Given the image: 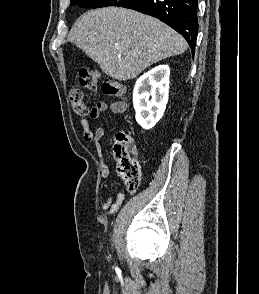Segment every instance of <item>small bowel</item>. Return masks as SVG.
Here are the masks:
<instances>
[{"label": "small bowel", "mask_w": 259, "mask_h": 294, "mask_svg": "<svg viewBox=\"0 0 259 294\" xmlns=\"http://www.w3.org/2000/svg\"><path fill=\"white\" fill-rule=\"evenodd\" d=\"M126 110V104L123 102H114L112 104H108L105 101H99L96 105L91 109L90 117L92 119L98 118L102 113L107 111H111L112 113H123ZM80 124L83 130V137L88 142H93L95 145V149L97 154L102 157L103 149L101 145V139L104 136V129L99 127L92 130L89 126L88 120L82 118L80 120ZM110 175V168L107 164L102 163L101 167V176L103 178H107ZM124 193L118 192L116 199L109 196L102 203V209L105 210L108 214L115 213L118 209L122 201L124 200Z\"/></svg>", "instance_id": "1"}]
</instances>
